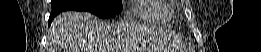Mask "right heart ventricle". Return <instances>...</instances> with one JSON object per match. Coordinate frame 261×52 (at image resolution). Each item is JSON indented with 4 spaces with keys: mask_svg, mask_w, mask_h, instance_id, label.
Wrapping results in <instances>:
<instances>
[{
    "mask_svg": "<svg viewBox=\"0 0 261 52\" xmlns=\"http://www.w3.org/2000/svg\"><path fill=\"white\" fill-rule=\"evenodd\" d=\"M133 20L163 23L172 18L173 12L167 1L164 0H140L132 8Z\"/></svg>",
    "mask_w": 261,
    "mask_h": 52,
    "instance_id": "e07e8e85",
    "label": "right heart ventricle"
}]
</instances>
